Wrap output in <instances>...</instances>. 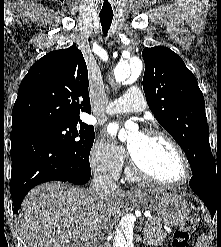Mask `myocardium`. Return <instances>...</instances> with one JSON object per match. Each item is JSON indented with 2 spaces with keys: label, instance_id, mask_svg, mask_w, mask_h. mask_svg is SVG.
Here are the masks:
<instances>
[{
  "label": "myocardium",
  "instance_id": "obj_1",
  "mask_svg": "<svg viewBox=\"0 0 221 247\" xmlns=\"http://www.w3.org/2000/svg\"><path fill=\"white\" fill-rule=\"evenodd\" d=\"M140 133L148 137H151V138H157V139L164 140L170 145H172L176 149V151L179 153L183 161V165L185 169V177L183 180L178 181V182L164 181L156 177L150 171H148L143 166V164H141V162L128 149V158H129V164H130L131 171L139 178H142L146 181L153 182L159 185L170 186V187H179V186L187 185L192 179V167H191L189 158L187 154L185 153L184 149L181 147V145L172 136L158 129L146 128V129H143Z\"/></svg>",
  "mask_w": 221,
  "mask_h": 247
}]
</instances>
